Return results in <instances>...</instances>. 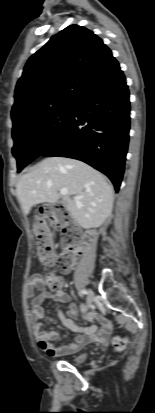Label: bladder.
Wrapping results in <instances>:
<instances>
[{
	"instance_id": "1",
	"label": "bladder",
	"mask_w": 155,
	"mask_h": 413,
	"mask_svg": "<svg viewBox=\"0 0 155 413\" xmlns=\"http://www.w3.org/2000/svg\"><path fill=\"white\" fill-rule=\"evenodd\" d=\"M85 359H86V354L85 353H80V354H77V355L73 356L71 358V361L73 363L78 364V363H82Z\"/></svg>"
}]
</instances>
